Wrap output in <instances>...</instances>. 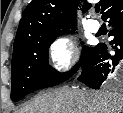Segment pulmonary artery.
<instances>
[{
    "mask_svg": "<svg viewBox=\"0 0 123 113\" xmlns=\"http://www.w3.org/2000/svg\"><path fill=\"white\" fill-rule=\"evenodd\" d=\"M88 27L91 32H97L100 29V23L96 19H91Z\"/></svg>",
    "mask_w": 123,
    "mask_h": 113,
    "instance_id": "e3ab8cb5",
    "label": "pulmonary artery"
}]
</instances>
